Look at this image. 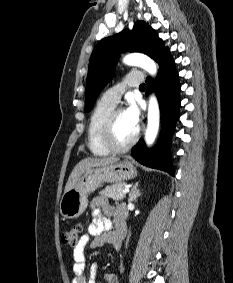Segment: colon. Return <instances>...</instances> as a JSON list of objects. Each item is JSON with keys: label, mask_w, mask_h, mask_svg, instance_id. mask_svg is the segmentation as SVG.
<instances>
[{"label": "colon", "mask_w": 233, "mask_h": 283, "mask_svg": "<svg viewBox=\"0 0 233 283\" xmlns=\"http://www.w3.org/2000/svg\"><path fill=\"white\" fill-rule=\"evenodd\" d=\"M81 233V224H74L63 232L62 241L68 245H75L79 241Z\"/></svg>", "instance_id": "1"}]
</instances>
